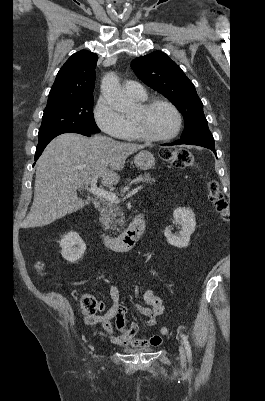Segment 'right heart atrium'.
Listing matches in <instances>:
<instances>
[{"mask_svg":"<svg viewBox=\"0 0 265 401\" xmlns=\"http://www.w3.org/2000/svg\"><path fill=\"white\" fill-rule=\"evenodd\" d=\"M93 118L97 126L109 136L118 138L127 130L122 114L104 96L98 98L93 109Z\"/></svg>","mask_w":265,"mask_h":401,"instance_id":"d8ad5b80","label":"right heart atrium"}]
</instances>
